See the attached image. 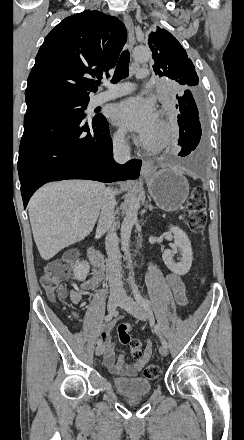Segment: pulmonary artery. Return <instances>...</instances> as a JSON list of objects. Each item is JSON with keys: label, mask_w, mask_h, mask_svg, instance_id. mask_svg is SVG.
<instances>
[{"label": "pulmonary artery", "mask_w": 244, "mask_h": 440, "mask_svg": "<svg viewBox=\"0 0 244 440\" xmlns=\"http://www.w3.org/2000/svg\"><path fill=\"white\" fill-rule=\"evenodd\" d=\"M136 77L137 78H146L147 77V70L146 69H137L136 70ZM135 89V84L134 83H129L128 84V88L124 87V85H120V87H117V85L115 83H112L110 85V93L108 92H103V93H99L96 94L90 102V105L92 107L100 105L106 101H110L113 100L115 98H118L120 96H127L130 93V90H134Z\"/></svg>", "instance_id": "obj_1"}]
</instances>
